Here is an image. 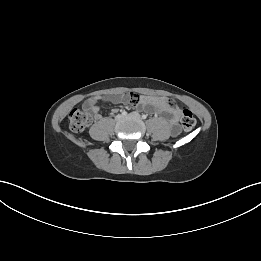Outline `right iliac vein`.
I'll list each match as a JSON object with an SVG mask.
<instances>
[{
	"label": "right iliac vein",
	"instance_id": "obj_1",
	"mask_svg": "<svg viewBox=\"0 0 261 261\" xmlns=\"http://www.w3.org/2000/svg\"><path fill=\"white\" fill-rule=\"evenodd\" d=\"M122 119H123V116L120 115V114L116 115V117H115V120H116V121H120V120H122Z\"/></svg>",
	"mask_w": 261,
	"mask_h": 261
}]
</instances>
